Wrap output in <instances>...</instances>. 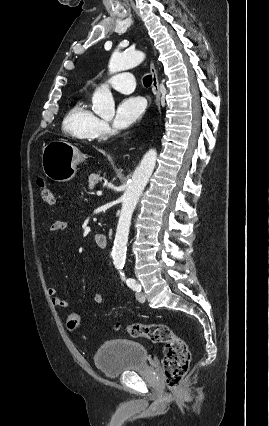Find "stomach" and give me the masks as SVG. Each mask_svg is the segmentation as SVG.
I'll list each match as a JSON object with an SVG mask.
<instances>
[{
	"mask_svg": "<svg viewBox=\"0 0 269 426\" xmlns=\"http://www.w3.org/2000/svg\"><path fill=\"white\" fill-rule=\"evenodd\" d=\"M85 160L77 147L63 140L49 142L42 151V169L46 177L56 182L72 180L78 165Z\"/></svg>",
	"mask_w": 269,
	"mask_h": 426,
	"instance_id": "obj_1",
	"label": "stomach"
}]
</instances>
